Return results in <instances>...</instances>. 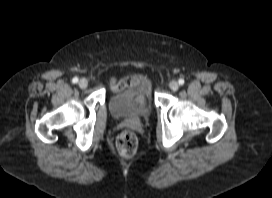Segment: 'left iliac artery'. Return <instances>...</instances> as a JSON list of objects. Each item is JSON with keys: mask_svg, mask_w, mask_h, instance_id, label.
I'll use <instances>...</instances> for the list:
<instances>
[{"mask_svg": "<svg viewBox=\"0 0 272 198\" xmlns=\"http://www.w3.org/2000/svg\"><path fill=\"white\" fill-rule=\"evenodd\" d=\"M178 83H179L180 85H183V84H184V79H179Z\"/></svg>", "mask_w": 272, "mask_h": 198, "instance_id": "obj_1", "label": "left iliac artery"}]
</instances>
